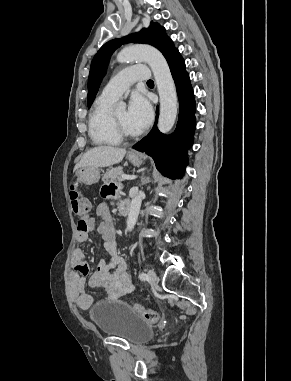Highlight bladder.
Returning a JSON list of instances; mask_svg holds the SVG:
<instances>
[{
	"instance_id": "31cf9c89",
	"label": "bladder",
	"mask_w": 291,
	"mask_h": 381,
	"mask_svg": "<svg viewBox=\"0 0 291 381\" xmlns=\"http://www.w3.org/2000/svg\"><path fill=\"white\" fill-rule=\"evenodd\" d=\"M91 316L103 334L124 339L131 344L145 342L153 335V325L120 300L93 308Z\"/></svg>"
}]
</instances>
